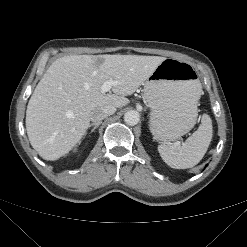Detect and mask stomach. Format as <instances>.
I'll list each match as a JSON object with an SVG mask.
<instances>
[{
	"instance_id": "0dacf381",
	"label": "stomach",
	"mask_w": 247,
	"mask_h": 247,
	"mask_svg": "<svg viewBox=\"0 0 247 247\" xmlns=\"http://www.w3.org/2000/svg\"><path fill=\"white\" fill-rule=\"evenodd\" d=\"M201 92L189 63L172 58L161 62L144 84L154 138L169 142L188 133L196 124Z\"/></svg>"
}]
</instances>
